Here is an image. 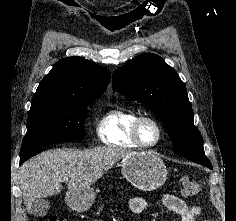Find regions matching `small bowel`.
<instances>
[{
  "instance_id": "small-bowel-1",
  "label": "small bowel",
  "mask_w": 236,
  "mask_h": 221,
  "mask_svg": "<svg viewBox=\"0 0 236 221\" xmlns=\"http://www.w3.org/2000/svg\"><path fill=\"white\" fill-rule=\"evenodd\" d=\"M161 203L165 209L176 214L180 221H196L202 211L199 205H188L183 199L172 194L164 195ZM147 206V201L142 197L129 199V209L134 214H141Z\"/></svg>"
}]
</instances>
